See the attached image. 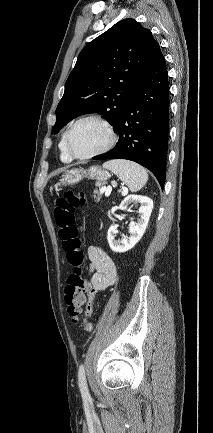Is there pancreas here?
Here are the masks:
<instances>
[{
  "mask_svg": "<svg viewBox=\"0 0 213 433\" xmlns=\"http://www.w3.org/2000/svg\"><path fill=\"white\" fill-rule=\"evenodd\" d=\"M96 186H98L100 188L99 184H97ZM94 192H95V194H97V196L95 195L94 198L96 199V202H99L101 197H102V192L98 189H96Z\"/></svg>",
  "mask_w": 213,
  "mask_h": 433,
  "instance_id": "1",
  "label": "pancreas"
}]
</instances>
